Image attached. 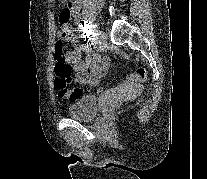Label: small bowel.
I'll return each mask as SVG.
<instances>
[{"label": "small bowel", "mask_w": 207, "mask_h": 179, "mask_svg": "<svg viewBox=\"0 0 207 179\" xmlns=\"http://www.w3.org/2000/svg\"><path fill=\"white\" fill-rule=\"evenodd\" d=\"M83 0H69L68 6L63 9L58 21L62 26L59 35H63L66 40L73 45V50L67 54V61L71 65L76 75V81L80 84L97 85L107 74L110 62L106 57H101L92 51L89 43H80L74 36V26L68 24L69 18L78 19V28H84V21L80 20ZM86 51L87 55L82 60L81 53Z\"/></svg>", "instance_id": "small-bowel-1"}]
</instances>
